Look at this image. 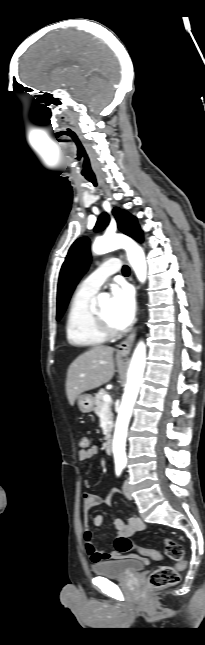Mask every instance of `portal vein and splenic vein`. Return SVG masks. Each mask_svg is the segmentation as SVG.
Returning a JSON list of instances; mask_svg holds the SVG:
<instances>
[{"label":"portal vein and splenic vein","instance_id":"obj_1","mask_svg":"<svg viewBox=\"0 0 205 645\" xmlns=\"http://www.w3.org/2000/svg\"><path fill=\"white\" fill-rule=\"evenodd\" d=\"M103 400H104V402H105L106 404H109V403H111V401H112L111 396H110V395H108V394H105V395L103 396Z\"/></svg>","mask_w":205,"mask_h":645}]
</instances>
